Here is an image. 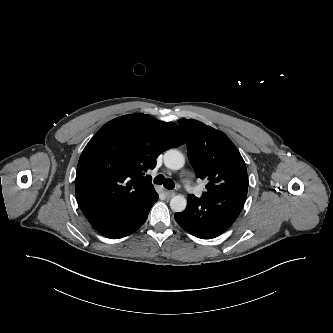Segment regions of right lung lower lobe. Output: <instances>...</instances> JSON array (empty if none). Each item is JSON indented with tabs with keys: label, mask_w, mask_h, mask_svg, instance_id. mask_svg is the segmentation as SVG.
Wrapping results in <instances>:
<instances>
[{
	"label": "right lung lower lobe",
	"mask_w": 333,
	"mask_h": 333,
	"mask_svg": "<svg viewBox=\"0 0 333 333\" xmlns=\"http://www.w3.org/2000/svg\"><path fill=\"white\" fill-rule=\"evenodd\" d=\"M158 195L144 205L116 213H97L87 216L93 228L107 238L118 239L132 234L146 221Z\"/></svg>",
	"instance_id": "1"
}]
</instances>
